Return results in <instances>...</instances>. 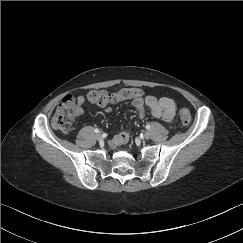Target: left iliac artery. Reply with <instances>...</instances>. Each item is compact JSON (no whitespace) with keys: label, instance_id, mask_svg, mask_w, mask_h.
<instances>
[{"label":"left iliac artery","instance_id":"44dca946","mask_svg":"<svg viewBox=\"0 0 243 243\" xmlns=\"http://www.w3.org/2000/svg\"><path fill=\"white\" fill-rule=\"evenodd\" d=\"M151 126L149 124L146 125V129H150Z\"/></svg>","mask_w":243,"mask_h":243}]
</instances>
